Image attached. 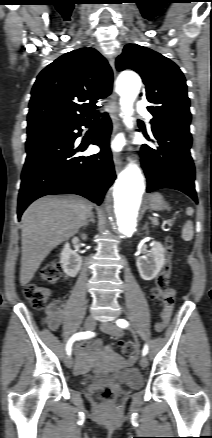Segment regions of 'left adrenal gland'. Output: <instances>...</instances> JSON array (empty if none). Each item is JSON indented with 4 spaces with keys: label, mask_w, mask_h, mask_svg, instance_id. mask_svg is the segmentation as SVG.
I'll return each instance as SVG.
<instances>
[{
    "label": "left adrenal gland",
    "mask_w": 212,
    "mask_h": 438,
    "mask_svg": "<svg viewBox=\"0 0 212 438\" xmlns=\"http://www.w3.org/2000/svg\"><path fill=\"white\" fill-rule=\"evenodd\" d=\"M143 229H144V230H148V222L145 223Z\"/></svg>",
    "instance_id": "1"
}]
</instances>
